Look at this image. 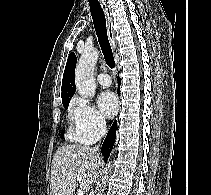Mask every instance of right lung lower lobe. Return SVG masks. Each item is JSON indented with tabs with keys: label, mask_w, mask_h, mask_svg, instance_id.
Returning <instances> with one entry per match:
<instances>
[{
	"label": "right lung lower lobe",
	"mask_w": 211,
	"mask_h": 195,
	"mask_svg": "<svg viewBox=\"0 0 211 195\" xmlns=\"http://www.w3.org/2000/svg\"><path fill=\"white\" fill-rule=\"evenodd\" d=\"M118 85H120L119 78H118ZM115 136H116V121H114L112 127L110 128L109 132L107 133V136H106V138L103 142L102 148H101V152L104 156L105 162H107V159H108V157L111 153V150L113 148Z\"/></svg>",
	"instance_id": "98d812e1"
}]
</instances>
